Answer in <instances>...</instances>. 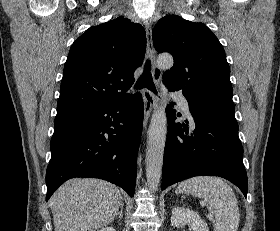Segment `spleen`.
Instances as JSON below:
<instances>
[{
  "label": "spleen",
  "mask_w": 280,
  "mask_h": 231,
  "mask_svg": "<svg viewBox=\"0 0 280 231\" xmlns=\"http://www.w3.org/2000/svg\"><path fill=\"white\" fill-rule=\"evenodd\" d=\"M176 193L203 197L209 211L215 213L214 231H237L240 221L237 197L232 187L221 177H190L179 183Z\"/></svg>",
  "instance_id": "1"
}]
</instances>
